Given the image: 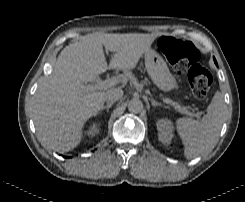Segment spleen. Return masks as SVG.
<instances>
[{"label": "spleen", "mask_w": 245, "mask_h": 202, "mask_svg": "<svg viewBox=\"0 0 245 202\" xmlns=\"http://www.w3.org/2000/svg\"><path fill=\"white\" fill-rule=\"evenodd\" d=\"M226 105L222 93L216 92L201 121L191 118L176 120L177 131L184 145V155L192 159L210 150L224 123Z\"/></svg>", "instance_id": "spleen-1"}]
</instances>
